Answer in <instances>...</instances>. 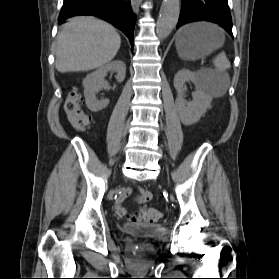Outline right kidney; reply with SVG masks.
Returning a JSON list of instances; mask_svg holds the SVG:
<instances>
[{
	"instance_id": "right-kidney-1",
	"label": "right kidney",
	"mask_w": 279,
	"mask_h": 279,
	"mask_svg": "<svg viewBox=\"0 0 279 279\" xmlns=\"http://www.w3.org/2000/svg\"><path fill=\"white\" fill-rule=\"evenodd\" d=\"M108 72H117L116 79L118 82H122L126 76V65L123 61L115 60L106 65L100 67L96 71L88 74L83 80L84 96L88 109L92 112H98L103 110L109 104L108 99L98 100L96 93L104 88L108 89L109 86L105 82L104 78Z\"/></svg>"
}]
</instances>
